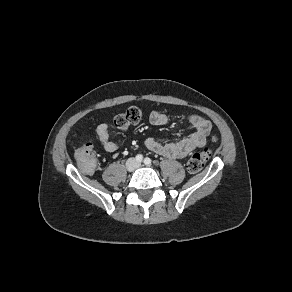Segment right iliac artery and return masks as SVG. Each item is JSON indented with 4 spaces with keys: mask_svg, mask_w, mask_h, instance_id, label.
<instances>
[{
    "mask_svg": "<svg viewBox=\"0 0 292 292\" xmlns=\"http://www.w3.org/2000/svg\"><path fill=\"white\" fill-rule=\"evenodd\" d=\"M143 160V156L141 155V154H138L137 156H136V161L137 162H141Z\"/></svg>",
    "mask_w": 292,
    "mask_h": 292,
    "instance_id": "82829eb1",
    "label": "right iliac artery"
}]
</instances>
